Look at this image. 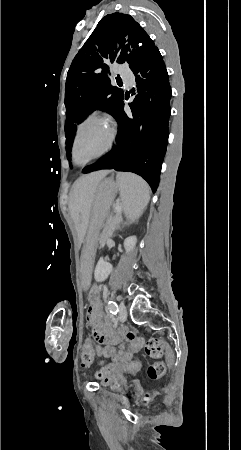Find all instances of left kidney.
I'll return each mask as SVG.
<instances>
[{"instance_id":"5707ae66","label":"left kidney","mask_w":241,"mask_h":450,"mask_svg":"<svg viewBox=\"0 0 241 450\" xmlns=\"http://www.w3.org/2000/svg\"><path fill=\"white\" fill-rule=\"evenodd\" d=\"M137 238L136 236H130V238H126L124 242V248L126 252H132L136 246ZM112 272L111 264H106L103 258H100L94 272V278L96 282H104L106 278H108L109 274Z\"/></svg>"}]
</instances>
